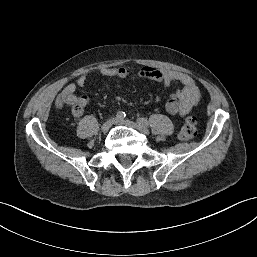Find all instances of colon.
<instances>
[{
	"mask_svg": "<svg viewBox=\"0 0 257 257\" xmlns=\"http://www.w3.org/2000/svg\"><path fill=\"white\" fill-rule=\"evenodd\" d=\"M60 105L70 104L72 107L75 106L74 100L70 95H61L58 99ZM197 134V119L194 116L188 117L183 123L178 138L182 141H188L193 139Z\"/></svg>",
	"mask_w": 257,
	"mask_h": 257,
	"instance_id": "5ec220e1",
	"label": "colon"
}]
</instances>
